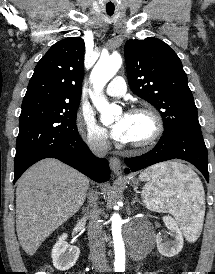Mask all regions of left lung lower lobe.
I'll use <instances>...</instances> for the list:
<instances>
[{
	"label": "left lung lower lobe",
	"mask_w": 215,
	"mask_h": 274,
	"mask_svg": "<svg viewBox=\"0 0 215 274\" xmlns=\"http://www.w3.org/2000/svg\"><path fill=\"white\" fill-rule=\"evenodd\" d=\"M171 159H182L192 163L207 182L209 181L207 148L203 137L188 132L164 134L151 151L141 156L125 158V172L138 171Z\"/></svg>",
	"instance_id": "0a47b994"
}]
</instances>
